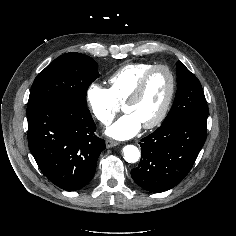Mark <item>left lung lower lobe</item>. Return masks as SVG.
I'll list each match as a JSON object with an SVG mask.
<instances>
[{"label": "left lung lower lobe", "mask_w": 236, "mask_h": 236, "mask_svg": "<svg viewBox=\"0 0 236 236\" xmlns=\"http://www.w3.org/2000/svg\"><path fill=\"white\" fill-rule=\"evenodd\" d=\"M206 135L207 119L184 117L162 124L141 140V160L132 178L153 193L175 187L191 170Z\"/></svg>", "instance_id": "left-lung-lower-lobe-1"}]
</instances>
